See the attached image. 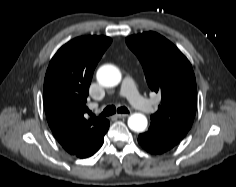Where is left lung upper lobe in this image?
Wrapping results in <instances>:
<instances>
[{
    "label": "left lung upper lobe",
    "mask_w": 236,
    "mask_h": 187,
    "mask_svg": "<svg viewBox=\"0 0 236 187\" xmlns=\"http://www.w3.org/2000/svg\"><path fill=\"white\" fill-rule=\"evenodd\" d=\"M142 64L152 91L162 95L150 127L179 139L190 130L197 108V89L192 66L182 52L163 36L146 32L126 38Z\"/></svg>",
    "instance_id": "left-lung-upper-lobe-1"
}]
</instances>
